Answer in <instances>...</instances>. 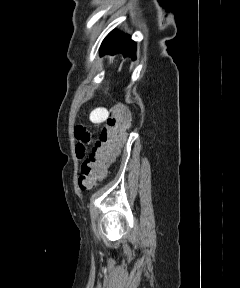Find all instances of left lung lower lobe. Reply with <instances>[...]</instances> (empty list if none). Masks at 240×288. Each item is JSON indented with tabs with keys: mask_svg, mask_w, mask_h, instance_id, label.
<instances>
[{
	"mask_svg": "<svg viewBox=\"0 0 240 288\" xmlns=\"http://www.w3.org/2000/svg\"><path fill=\"white\" fill-rule=\"evenodd\" d=\"M135 51V42L130 39V36L115 32H111L101 45V55L122 53L124 57L131 56L134 59Z\"/></svg>",
	"mask_w": 240,
	"mask_h": 288,
	"instance_id": "0a47b994",
	"label": "left lung lower lobe"
}]
</instances>
